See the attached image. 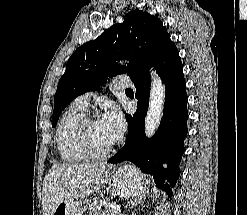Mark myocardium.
Listing matches in <instances>:
<instances>
[{"label":"myocardium","mask_w":247,"mask_h":215,"mask_svg":"<svg viewBox=\"0 0 247 215\" xmlns=\"http://www.w3.org/2000/svg\"><path fill=\"white\" fill-rule=\"evenodd\" d=\"M95 120L96 118L94 116H84L77 125L76 136L80 148L88 158L102 159L106 158L114 151L116 143L114 142L112 145L105 149H98L92 144L89 136L88 127L89 124Z\"/></svg>","instance_id":"obj_1"}]
</instances>
